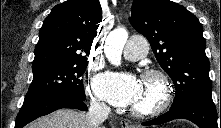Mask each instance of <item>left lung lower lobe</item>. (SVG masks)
I'll return each instance as SVG.
<instances>
[{
    "label": "left lung lower lobe",
    "instance_id": "0a47b994",
    "mask_svg": "<svg viewBox=\"0 0 221 128\" xmlns=\"http://www.w3.org/2000/svg\"><path fill=\"white\" fill-rule=\"evenodd\" d=\"M180 118L188 119L200 128H221V114L219 124V114L213 101L203 99L188 101L153 120L142 123V125H159Z\"/></svg>",
    "mask_w": 221,
    "mask_h": 128
}]
</instances>
